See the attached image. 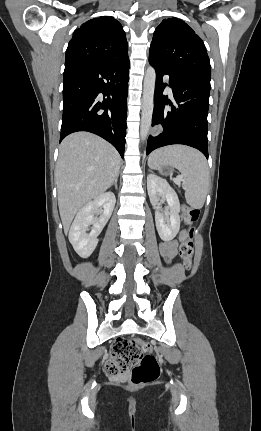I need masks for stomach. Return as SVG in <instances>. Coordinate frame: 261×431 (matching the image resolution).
I'll use <instances>...</instances> for the list:
<instances>
[{"label":"stomach","instance_id":"obj_1","mask_svg":"<svg viewBox=\"0 0 261 431\" xmlns=\"http://www.w3.org/2000/svg\"><path fill=\"white\" fill-rule=\"evenodd\" d=\"M171 167H172V166H170V165H162V166L158 167V168H157V170H158L160 173H162V174H164V175H167V174H170V173H171Z\"/></svg>","mask_w":261,"mask_h":431}]
</instances>
